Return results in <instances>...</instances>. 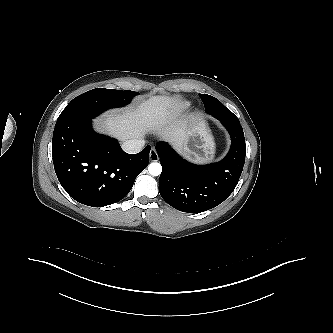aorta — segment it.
Listing matches in <instances>:
<instances>
[{"mask_svg": "<svg viewBox=\"0 0 333 333\" xmlns=\"http://www.w3.org/2000/svg\"><path fill=\"white\" fill-rule=\"evenodd\" d=\"M148 171H149L150 175L158 176L162 172V166L158 162L150 163V165L148 166Z\"/></svg>", "mask_w": 333, "mask_h": 333, "instance_id": "1", "label": "aorta"}]
</instances>
